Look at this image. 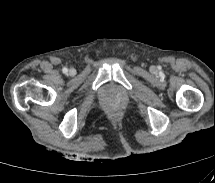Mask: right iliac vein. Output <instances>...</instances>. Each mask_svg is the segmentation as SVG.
Masks as SVG:
<instances>
[{
    "label": "right iliac vein",
    "mask_w": 215,
    "mask_h": 183,
    "mask_svg": "<svg viewBox=\"0 0 215 183\" xmlns=\"http://www.w3.org/2000/svg\"><path fill=\"white\" fill-rule=\"evenodd\" d=\"M75 73H76V71H75V69H73V68H71L70 70H69V74L70 75H75Z\"/></svg>",
    "instance_id": "obj_1"
}]
</instances>
